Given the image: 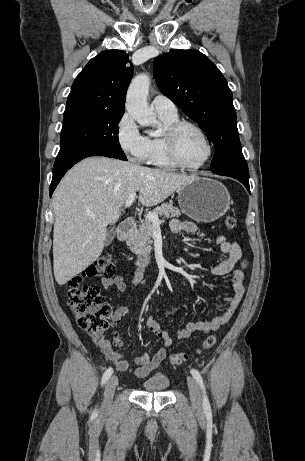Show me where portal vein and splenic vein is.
<instances>
[{
    "instance_id": "portal-vein-and-splenic-vein-1",
    "label": "portal vein and splenic vein",
    "mask_w": 305,
    "mask_h": 461,
    "mask_svg": "<svg viewBox=\"0 0 305 461\" xmlns=\"http://www.w3.org/2000/svg\"><path fill=\"white\" fill-rule=\"evenodd\" d=\"M135 197H136V193L132 192L129 195V197H128L126 203H125V207H130L133 204V202L135 201ZM89 217L96 218L97 216L93 215V214H89ZM146 218L149 219L153 224H160L161 223V221L159 220V218H158V216L156 214L148 213L146 215Z\"/></svg>"
}]
</instances>
